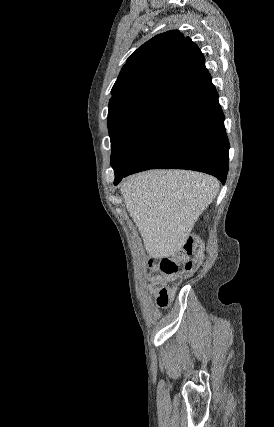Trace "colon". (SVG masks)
Listing matches in <instances>:
<instances>
[{
    "label": "colon",
    "mask_w": 274,
    "mask_h": 427,
    "mask_svg": "<svg viewBox=\"0 0 274 427\" xmlns=\"http://www.w3.org/2000/svg\"><path fill=\"white\" fill-rule=\"evenodd\" d=\"M204 244L189 236L180 252L150 259L148 262L149 280L156 292V305L166 308L178 278L198 270L204 261Z\"/></svg>",
    "instance_id": "colon-1"
}]
</instances>
